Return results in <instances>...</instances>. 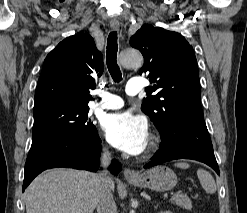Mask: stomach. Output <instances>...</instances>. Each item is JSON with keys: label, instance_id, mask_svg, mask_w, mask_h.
<instances>
[{"label": "stomach", "instance_id": "stomach-1", "mask_svg": "<svg viewBox=\"0 0 247 213\" xmlns=\"http://www.w3.org/2000/svg\"><path fill=\"white\" fill-rule=\"evenodd\" d=\"M129 182L142 188L167 191L177 184V176L166 166H156L141 173L138 179H131Z\"/></svg>", "mask_w": 247, "mask_h": 213}]
</instances>
